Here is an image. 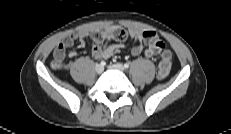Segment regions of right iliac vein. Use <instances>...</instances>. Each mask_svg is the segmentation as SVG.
Wrapping results in <instances>:
<instances>
[{
    "label": "right iliac vein",
    "instance_id": "1",
    "mask_svg": "<svg viewBox=\"0 0 231 134\" xmlns=\"http://www.w3.org/2000/svg\"><path fill=\"white\" fill-rule=\"evenodd\" d=\"M103 69H104L103 66H101L100 64H96V66H95L96 73H98V74L102 73Z\"/></svg>",
    "mask_w": 231,
    "mask_h": 134
}]
</instances>
